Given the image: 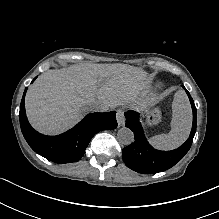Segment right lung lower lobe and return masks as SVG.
<instances>
[{
	"label": "right lung lower lobe",
	"mask_w": 219,
	"mask_h": 219,
	"mask_svg": "<svg viewBox=\"0 0 219 219\" xmlns=\"http://www.w3.org/2000/svg\"><path fill=\"white\" fill-rule=\"evenodd\" d=\"M26 90L27 88L24 91L19 112L22 133L35 152L55 163L63 164L80 160L91 138L96 133L101 130H113L117 127L115 111L91 113L63 134L58 136L42 135L35 131L27 120L24 106Z\"/></svg>",
	"instance_id": "98d812e1"
}]
</instances>
